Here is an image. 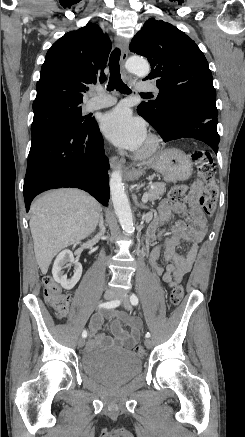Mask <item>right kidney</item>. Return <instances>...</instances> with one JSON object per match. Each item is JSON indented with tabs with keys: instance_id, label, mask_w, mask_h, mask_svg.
Here are the masks:
<instances>
[{
	"instance_id": "right-kidney-1",
	"label": "right kidney",
	"mask_w": 245,
	"mask_h": 437,
	"mask_svg": "<svg viewBox=\"0 0 245 437\" xmlns=\"http://www.w3.org/2000/svg\"><path fill=\"white\" fill-rule=\"evenodd\" d=\"M71 266H74V274L68 279L63 270ZM52 275L54 280L60 283L64 289L70 290L76 285L82 275V265L74 259L72 251L63 250L54 261Z\"/></svg>"
}]
</instances>
